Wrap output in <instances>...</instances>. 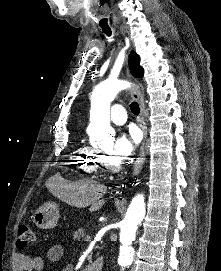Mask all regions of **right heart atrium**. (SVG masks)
Masks as SVG:
<instances>
[{
    "label": "right heart atrium",
    "instance_id": "obj_1",
    "mask_svg": "<svg viewBox=\"0 0 221 271\" xmlns=\"http://www.w3.org/2000/svg\"><path fill=\"white\" fill-rule=\"evenodd\" d=\"M77 157L80 155L81 161H95L97 164L95 166L101 167L103 164V159H105V154H97L95 151H86V154H75ZM78 159V158H77ZM99 171V170H98ZM98 171H81V173H97Z\"/></svg>",
    "mask_w": 221,
    "mask_h": 271
}]
</instances>
